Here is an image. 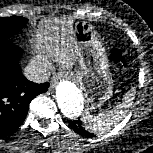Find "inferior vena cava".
<instances>
[{
  "label": "inferior vena cava",
  "mask_w": 153,
  "mask_h": 153,
  "mask_svg": "<svg viewBox=\"0 0 153 153\" xmlns=\"http://www.w3.org/2000/svg\"><path fill=\"white\" fill-rule=\"evenodd\" d=\"M24 75L28 80L34 83H43L49 79L48 71L45 68L34 64H29L25 67Z\"/></svg>",
  "instance_id": "602c4592"
}]
</instances>
